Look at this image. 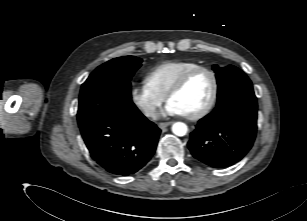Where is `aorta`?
I'll return each instance as SVG.
<instances>
[{
    "mask_svg": "<svg viewBox=\"0 0 307 221\" xmlns=\"http://www.w3.org/2000/svg\"><path fill=\"white\" fill-rule=\"evenodd\" d=\"M187 131V125L183 122H176L172 125V132L177 136H184Z\"/></svg>",
    "mask_w": 307,
    "mask_h": 221,
    "instance_id": "obj_1",
    "label": "aorta"
}]
</instances>
